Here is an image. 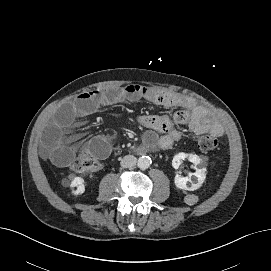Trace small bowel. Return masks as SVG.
Here are the masks:
<instances>
[{
  "mask_svg": "<svg viewBox=\"0 0 271 271\" xmlns=\"http://www.w3.org/2000/svg\"><path fill=\"white\" fill-rule=\"evenodd\" d=\"M144 99L168 108H180L173 115H147L138 117L139 124L151 131L162 133L159 146L167 150L182 138L178 125H188L196 135L210 133L219 137L223 133L221 124L213 118L210 111L199 105L193 98L156 87L131 84L106 91H86L74 100L65 103L55 113L47 126L42 144V155L57 166H66L74 156V150L68 145L70 138L65 128L73 125L76 119L92 114L103 106L125 101ZM149 139L152 138L147 134ZM89 148L101 158H106L112 149L111 136L99 135L88 143Z\"/></svg>",
  "mask_w": 271,
  "mask_h": 271,
  "instance_id": "c3829d8e",
  "label": "small bowel"
}]
</instances>
